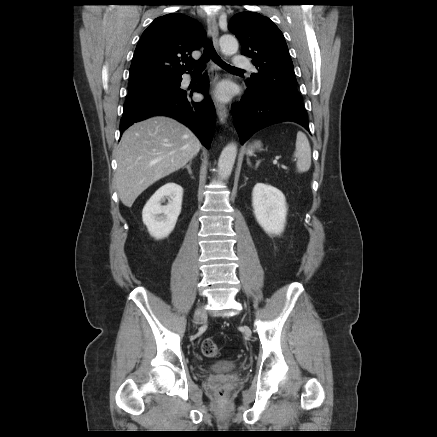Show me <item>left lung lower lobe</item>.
<instances>
[{
  "mask_svg": "<svg viewBox=\"0 0 437 437\" xmlns=\"http://www.w3.org/2000/svg\"><path fill=\"white\" fill-rule=\"evenodd\" d=\"M232 116L241 144L256 131L283 121L296 122L309 131L307 113L300 100L266 91L247 88L232 108Z\"/></svg>",
  "mask_w": 437,
  "mask_h": 437,
  "instance_id": "1",
  "label": "left lung lower lobe"
}]
</instances>
